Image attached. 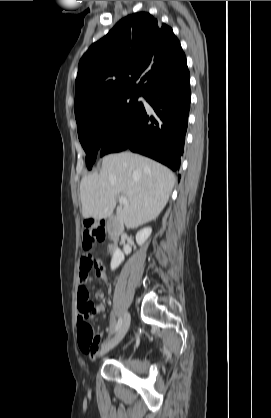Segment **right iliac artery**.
I'll list each match as a JSON object with an SVG mask.
<instances>
[{
  "label": "right iliac artery",
  "mask_w": 271,
  "mask_h": 418,
  "mask_svg": "<svg viewBox=\"0 0 271 418\" xmlns=\"http://www.w3.org/2000/svg\"><path fill=\"white\" fill-rule=\"evenodd\" d=\"M121 324H122V318H119V320H118V322H117V324L115 326L114 332L118 331V329L120 328Z\"/></svg>",
  "instance_id": "obj_1"
}]
</instances>
